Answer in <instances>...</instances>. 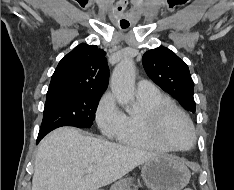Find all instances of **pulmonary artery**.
<instances>
[{"label": "pulmonary artery", "instance_id": "obj_1", "mask_svg": "<svg viewBox=\"0 0 234 190\" xmlns=\"http://www.w3.org/2000/svg\"><path fill=\"white\" fill-rule=\"evenodd\" d=\"M157 91L153 83L147 80H140L137 84V94H150Z\"/></svg>", "mask_w": 234, "mask_h": 190}]
</instances>
